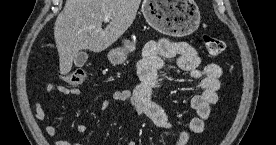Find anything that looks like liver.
I'll return each instance as SVG.
<instances>
[{
  "instance_id": "1",
  "label": "liver",
  "mask_w": 276,
  "mask_h": 145,
  "mask_svg": "<svg viewBox=\"0 0 276 145\" xmlns=\"http://www.w3.org/2000/svg\"><path fill=\"white\" fill-rule=\"evenodd\" d=\"M141 0H66L54 25L60 73L71 71L81 50L101 52L111 46L133 23ZM105 16L111 22L102 29Z\"/></svg>"
}]
</instances>
